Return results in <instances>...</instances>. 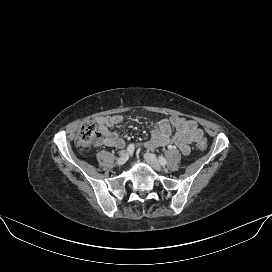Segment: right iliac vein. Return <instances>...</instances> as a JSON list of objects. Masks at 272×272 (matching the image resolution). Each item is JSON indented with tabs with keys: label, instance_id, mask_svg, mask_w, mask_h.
Here are the masks:
<instances>
[{
	"label": "right iliac vein",
	"instance_id": "obj_1",
	"mask_svg": "<svg viewBox=\"0 0 272 272\" xmlns=\"http://www.w3.org/2000/svg\"><path fill=\"white\" fill-rule=\"evenodd\" d=\"M128 158H129L128 152L122 151V152L120 153V157H119V158L117 159V161H116L117 165H118V166L124 165V164L127 162Z\"/></svg>",
	"mask_w": 272,
	"mask_h": 272
}]
</instances>
